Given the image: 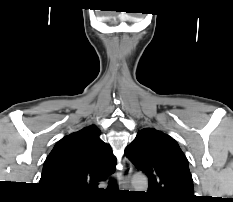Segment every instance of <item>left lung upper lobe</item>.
Here are the masks:
<instances>
[{"mask_svg": "<svg viewBox=\"0 0 233 202\" xmlns=\"http://www.w3.org/2000/svg\"><path fill=\"white\" fill-rule=\"evenodd\" d=\"M126 156L149 179L147 196L155 202H193V180L188 160L176 141L151 128L137 133Z\"/></svg>", "mask_w": 233, "mask_h": 202, "instance_id": "5c2ea615", "label": "left lung upper lobe"}]
</instances>
